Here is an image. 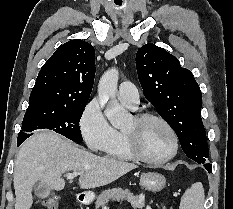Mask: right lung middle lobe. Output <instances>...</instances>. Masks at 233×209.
I'll list each match as a JSON object with an SVG mask.
<instances>
[{
	"instance_id": "dd1d6c3e",
	"label": "right lung middle lobe",
	"mask_w": 233,
	"mask_h": 209,
	"mask_svg": "<svg viewBox=\"0 0 233 209\" xmlns=\"http://www.w3.org/2000/svg\"><path fill=\"white\" fill-rule=\"evenodd\" d=\"M86 104L87 102L67 107L29 106L23 119L18 140L27 139L31 136L29 134L31 131L50 129L74 142L81 143L82 135L79 121Z\"/></svg>"
}]
</instances>
